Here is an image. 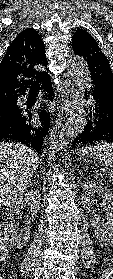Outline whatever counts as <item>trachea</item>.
Listing matches in <instances>:
<instances>
[{
	"label": "trachea",
	"instance_id": "1",
	"mask_svg": "<svg viewBox=\"0 0 113 279\" xmlns=\"http://www.w3.org/2000/svg\"><path fill=\"white\" fill-rule=\"evenodd\" d=\"M27 83L30 85V89H38L40 87L38 82H33L32 80L27 81Z\"/></svg>",
	"mask_w": 113,
	"mask_h": 279
}]
</instances>
